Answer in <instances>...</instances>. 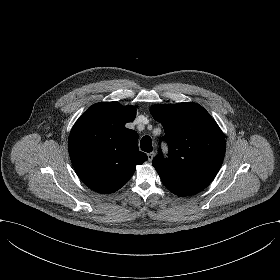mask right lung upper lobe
<instances>
[{
	"label": "right lung upper lobe",
	"mask_w": 280,
	"mask_h": 280,
	"mask_svg": "<svg viewBox=\"0 0 280 280\" xmlns=\"http://www.w3.org/2000/svg\"><path fill=\"white\" fill-rule=\"evenodd\" d=\"M134 106L118 102L92 105L74 124L68 141L72 165L92 190L110 194L126 184L136 165L147 160L138 134L125 127L135 119Z\"/></svg>",
	"instance_id": "1"
}]
</instances>
